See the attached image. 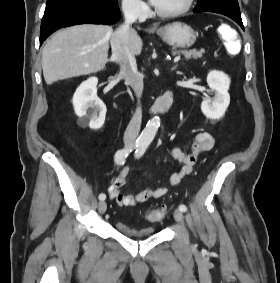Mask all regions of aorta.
Returning a JSON list of instances; mask_svg holds the SVG:
<instances>
[{
	"label": "aorta",
	"mask_w": 280,
	"mask_h": 283,
	"mask_svg": "<svg viewBox=\"0 0 280 283\" xmlns=\"http://www.w3.org/2000/svg\"><path fill=\"white\" fill-rule=\"evenodd\" d=\"M160 126V118L155 116L150 119L140 136V143L149 144L154 139L156 132Z\"/></svg>",
	"instance_id": "762f6f07"
}]
</instances>
